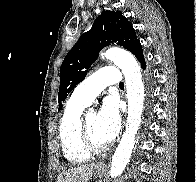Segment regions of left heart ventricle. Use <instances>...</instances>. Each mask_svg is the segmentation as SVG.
<instances>
[{"mask_svg": "<svg viewBox=\"0 0 196 182\" xmlns=\"http://www.w3.org/2000/svg\"><path fill=\"white\" fill-rule=\"evenodd\" d=\"M97 115L89 112L86 115V126L92 142L96 145H104L105 141L101 138L96 127Z\"/></svg>", "mask_w": 196, "mask_h": 182, "instance_id": "1", "label": "left heart ventricle"}]
</instances>
